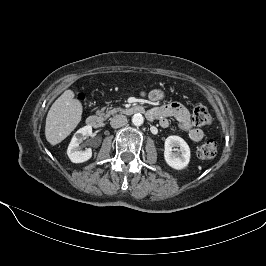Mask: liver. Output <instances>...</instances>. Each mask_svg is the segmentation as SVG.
<instances>
[{"label":"liver","mask_w":266,"mask_h":266,"mask_svg":"<svg viewBox=\"0 0 266 266\" xmlns=\"http://www.w3.org/2000/svg\"><path fill=\"white\" fill-rule=\"evenodd\" d=\"M82 104L74 98L71 90L65 91L51 106L45 125L47 141L58 144L76 128L81 121Z\"/></svg>","instance_id":"obj_1"}]
</instances>
